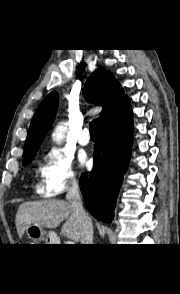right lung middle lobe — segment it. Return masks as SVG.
I'll return each instance as SVG.
<instances>
[{
	"instance_id": "right-lung-middle-lobe-1",
	"label": "right lung middle lobe",
	"mask_w": 180,
	"mask_h": 294,
	"mask_svg": "<svg viewBox=\"0 0 180 294\" xmlns=\"http://www.w3.org/2000/svg\"><path fill=\"white\" fill-rule=\"evenodd\" d=\"M34 157L28 158V159H24L23 160V165H26L28 163H30L33 160Z\"/></svg>"
}]
</instances>
